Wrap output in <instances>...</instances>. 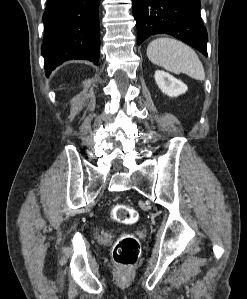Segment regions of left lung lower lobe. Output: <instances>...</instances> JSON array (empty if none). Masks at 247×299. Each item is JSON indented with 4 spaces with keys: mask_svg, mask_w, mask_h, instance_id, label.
<instances>
[{
    "mask_svg": "<svg viewBox=\"0 0 247 299\" xmlns=\"http://www.w3.org/2000/svg\"><path fill=\"white\" fill-rule=\"evenodd\" d=\"M138 45L155 34H169L207 56V31L200 0H132Z\"/></svg>",
    "mask_w": 247,
    "mask_h": 299,
    "instance_id": "0a47b994",
    "label": "left lung lower lobe"
}]
</instances>
